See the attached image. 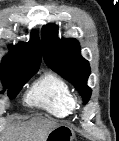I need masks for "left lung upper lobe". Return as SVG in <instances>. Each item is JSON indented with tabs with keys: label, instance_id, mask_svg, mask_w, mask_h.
<instances>
[{
	"label": "left lung upper lobe",
	"instance_id": "obj_1",
	"mask_svg": "<svg viewBox=\"0 0 119 141\" xmlns=\"http://www.w3.org/2000/svg\"><path fill=\"white\" fill-rule=\"evenodd\" d=\"M58 27L48 24L42 28L41 48L46 64L74 85L87 103L91 88L87 85L90 75L89 62L80 55L79 43L75 39H58Z\"/></svg>",
	"mask_w": 119,
	"mask_h": 141
}]
</instances>
